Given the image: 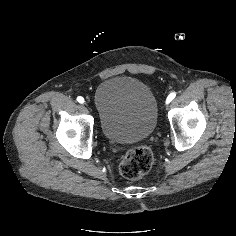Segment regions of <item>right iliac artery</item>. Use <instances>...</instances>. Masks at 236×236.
Segmentation results:
<instances>
[{
	"label": "right iliac artery",
	"instance_id": "obj_1",
	"mask_svg": "<svg viewBox=\"0 0 236 236\" xmlns=\"http://www.w3.org/2000/svg\"><path fill=\"white\" fill-rule=\"evenodd\" d=\"M77 101L79 102V103H81V104H83L85 101H84V98L83 97H81V96H78L77 97Z\"/></svg>",
	"mask_w": 236,
	"mask_h": 236
}]
</instances>
